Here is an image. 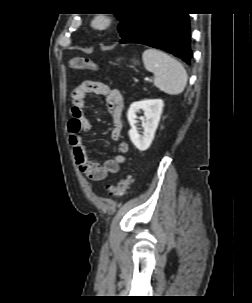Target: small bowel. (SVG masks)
I'll return each mask as SVG.
<instances>
[{"label": "small bowel", "instance_id": "obj_1", "mask_svg": "<svg viewBox=\"0 0 252 303\" xmlns=\"http://www.w3.org/2000/svg\"><path fill=\"white\" fill-rule=\"evenodd\" d=\"M89 94L103 96L106 99L112 119L111 139L116 142L117 154L101 165L89 160L86 144L81 136V133L92 129V124L84 113V105ZM122 108L123 101L120 92L101 82L84 81L72 93L74 122L70 127V144L74 148V156L80 172L92 181L99 182L108 175L115 174L119 167L126 162L125 153L128 151V143L121 139L123 128Z\"/></svg>", "mask_w": 252, "mask_h": 303}]
</instances>
